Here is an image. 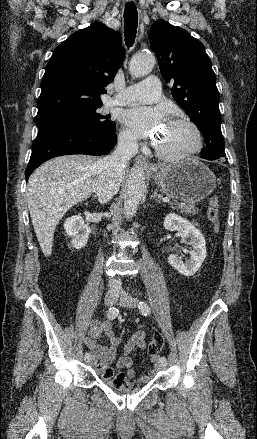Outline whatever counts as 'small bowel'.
<instances>
[{
  "label": "small bowel",
  "instance_id": "small-bowel-1",
  "mask_svg": "<svg viewBox=\"0 0 257 439\" xmlns=\"http://www.w3.org/2000/svg\"><path fill=\"white\" fill-rule=\"evenodd\" d=\"M105 336L108 340L107 345L98 343V340ZM85 346L94 358V366L98 370L110 367L115 363L117 370H126V376L133 379L136 384H147L156 375V369H151L148 374L136 377L134 370V357L138 350L146 348V335L144 332L135 333L128 342L116 337L112 331L110 321H93L90 325L89 335L83 340ZM153 362L157 357L152 358Z\"/></svg>",
  "mask_w": 257,
  "mask_h": 439
}]
</instances>
